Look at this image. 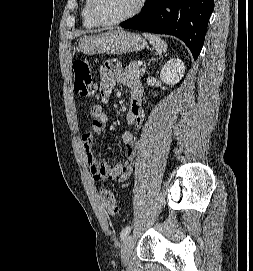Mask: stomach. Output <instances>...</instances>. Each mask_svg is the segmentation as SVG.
I'll list each match as a JSON object with an SVG mask.
<instances>
[{
    "label": "stomach",
    "mask_w": 253,
    "mask_h": 271,
    "mask_svg": "<svg viewBox=\"0 0 253 271\" xmlns=\"http://www.w3.org/2000/svg\"><path fill=\"white\" fill-rule=\"evenodd\" d=\"M145 46L146 41L139 34L117 29L82 38L79 42L78 50L86 55L104 53L121 55L140 51Z\"/></svg>",
    "instance_id": "1"
}]
</instances>
